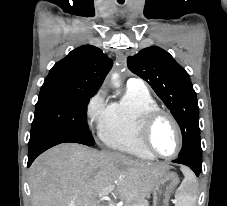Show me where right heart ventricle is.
<instances>
[{
	"label": "right heart ventricle",
	"mask_w": 227,
	"mask_h": 206,
	"mask_svg": "<svg viewBox=\"0 0 227 206\" xmlns=\"http://www.w3.org/2000/svg\"><path fill=\"white\" fill-rule=\"evenodd\" d=\"M155 108H159L158 104L148 90L127 88L121 100L108 106L99 130L101 141L107 147L133 157L154 159L140 143L139 123L146 112Z\"/></svg>",
	"instance_id": "e07e8e85"
}]
</instances>
